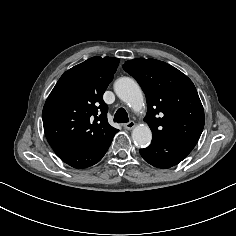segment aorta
<instances>
[{
    "instance_id": "1",
    "label": "aorta",
    "mask_w": 236,
    "mask_h": 236,
    "mask_svg": "<svg viewBox=\"0 0 236 236\" xmlns=\"http://www.w3.org/2000/svg\"><path fill=\"white\" fill-rule=\"evenodd\" d=\"M116 95L135 111H139L144 105V98L140 86L129 77H121L114 83ZM133 141L141 147L150 144L152 133L147 125H138L132 130Z\"/></svg>"
}]
</instances>
